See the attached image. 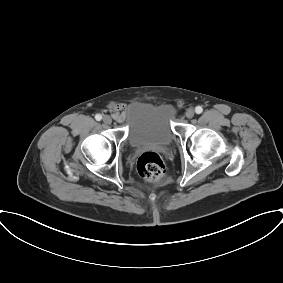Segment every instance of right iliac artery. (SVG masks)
<instances>
[{"instance_id":"obj_1","label":"right iliac artery","mask_w":283,"mask_h":283,"mask_svg":"<svg viewBox=\"0 0 283 283\" xmlns=\"http://www.w3.org/2000/svg\"><path fill=\"white\" fill-rule=\"evenodd\" d=\"M95 119H96L97 121H100V120L102 119V116H101L100 114H97V115L95 116Z\"/></svg>"}]
</instances>
